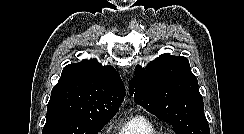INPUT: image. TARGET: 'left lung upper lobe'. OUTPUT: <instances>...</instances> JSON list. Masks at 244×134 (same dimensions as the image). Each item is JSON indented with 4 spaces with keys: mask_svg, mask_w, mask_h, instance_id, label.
<instances>
[{
    "mask_svg": "<svg viewBox=\"0 0 244 134\" xmlns=\"http://www.w3.org/2000/svg\"><path fill=\"white\" fill-rule=\"evenodd\" d=\"M130 94L137 104L171 124L177 134H210L197 78L186 57L167 53L146 69L136 66Z\"/></svg>",
    "mask_w": 244,
    "mask_h": 134,
    "instance_id": "5c2ea615",
    "label": "left lung upper lobe"
}]
</instances>
